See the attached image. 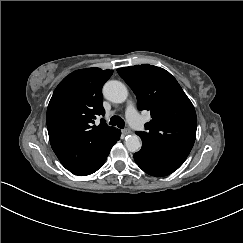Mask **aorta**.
Instances as JSON below:
<instances>
[{"instance_id":"obj_1","label":"aorta","mask_w":243,"mask_h":243,"mask_svg":"<svg viewBox=\"0 0 243 243\" xmlns=\"http://www.w3.org/2000/svg\"><path fill=\"white\" fill-rule=\"evenodd\" d=\"M103 94L106 99L113 103L122 104L128 98V89L120 81H109L105 84ZM125 146L130 152H137L142 146L141 139L136 134L125 137Z\"/></svg>"}]
</instances>
